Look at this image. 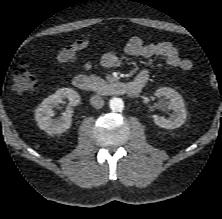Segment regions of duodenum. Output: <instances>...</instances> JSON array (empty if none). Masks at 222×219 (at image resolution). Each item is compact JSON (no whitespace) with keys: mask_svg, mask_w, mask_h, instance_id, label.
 Wrapping results in <instances>:
<instances>
[{"mask_svg":"<svg viewBox=\"0 0 222 219\" xmlns=\"http://www.w3.org/2000/svg\"><path fill=\"white\" fill-rule=\"evenodd\" d=\"M74 86L81 91H90L93 88V82L87 75L80 74L73 79ZM142 85L135 82L125 83L122 81H113L104 85V91L113 94H129L132 96L137 95Z\"/></svg>","mask_w":222,"mask_h":219,"instance_id":"410a0bca","label":"duodenum"}]
</instances>
